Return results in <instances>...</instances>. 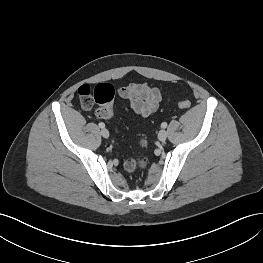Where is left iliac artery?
<instances>
[{
	"label": "left iliac artery",
	"instance_id": "obj_1",
	"mask_svg": "<svg viewBox=\"0 0 263 263\" xmlns=\"http://www.w3.org/2000/svg\"><path fill=\"white\" fill-rule=\"evenodd\" d=\"M161 127H162V128H166V127H167V123H166V122H163V123L161 124Z\"/></svg>",
	"mask_w": 263,
	"mask_h": 263
}]
</instances>
